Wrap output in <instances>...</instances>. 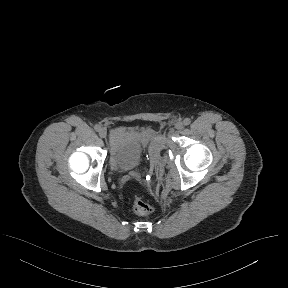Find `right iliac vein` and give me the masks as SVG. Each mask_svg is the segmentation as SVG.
<instances>
[{
  "mask_svg": "<svg viewBox=\"0 0 288 288\" xmlns=\"http://www.w3.org/2000/svg\"><path fill=\"white\" fill-rule=\"evenodd\" d=\"M99 136H100L101 138H106V136H107V131H106L105 128H101V130L99 131Z\"/></svg>",
  "mask_w": 288,
  "mask_h": 288,
  "instance_id": "63e3f726",
  "label": "right iliac vein"
}]
</instances>
